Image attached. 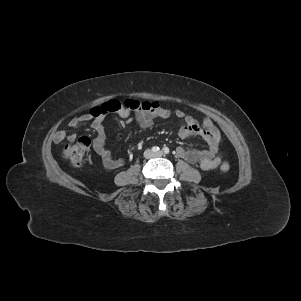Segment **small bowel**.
Returning <instances> with one entry per match:
<instances>
[{
	"mask_svg": "<svg viewBox=\"0 0 301 301\" xmlns=\"http://www.w3.org/2000/svg\"><path fill=\"white\" fill-rule=\"evenodd\" d=\"M157 104V107L153 109L132 110L130 108H123L118 112L117 119L121 125L131 124L135 120L140 127L149 128L157 118L168 119L172 116L170 110L162 107L159 103ZM132 112L135 113L134 117H132ZM174 115L182 121V125L178 131V136L181 139L197 136L202 138L208 145V149L206 150L178 147L176 149L177 156L191 164H197L202 170L209 171L216 169L221 163V158L217 155L221 143V134L212 120L206 118L203 123L200 124L195 118L187 115L182 110H176ZM89 121H91V127L96 134L93 140V148L100 156L103 165L108 169L120 167L123 164V161L114 158L112 153L107 149L104 114L94 116L91 112H88L71 119L69 126L72 129H78ZM54 139L56 142H62L65 139L73 141L76 139V135L74 133L68 134L65 130H58L54 135Z\"/></svg>",
	"mask_w": 301,
	"mask_h": 301,
	"instance_id": "small-bowel-1",
	"label": "small bowel"
}]
</instances>
